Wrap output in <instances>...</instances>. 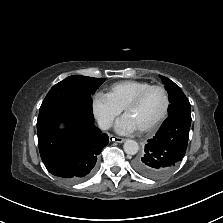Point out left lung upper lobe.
Listing matches in <instances>:
<instances>
[{
	"mask_svg": "<svg viewBox=\"0 0 223 223\" xmlns=\"http://www.w3.org/2000/svg\"><path fill=\"white\" fill-rule=\"evenodd\" d=\"M160 77L165 85V89L169 94V116L173 114H183L191 117L190 103L180 87L167 77Z\"/></svg>",
	"mask_w": 223,
	"mask_h": 223,
	"instance_id": "left-lung-upper-lobe-1",
	"label": "left lung upper lobe"
}]
</instances>
